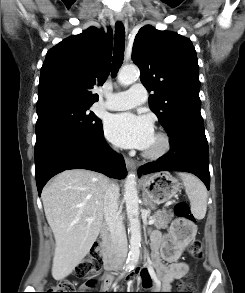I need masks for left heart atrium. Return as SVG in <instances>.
<instances>
[{
    "mask_svg": "<svg viewBox=\"0 0 245 293\" xmlns=\"http://www.w3.org/2000/svg\"><path fill=\"white\" fill-rule=\"evenodd\" d=\"M105 135L118 146L144 150L154 137V129L150 119L145 116L113 114L106 119Z\"/></svg>",
    "mask_w": 245,
    "mask_h": 293,
    "instance_id": "39dd6f15",
    "label": "left heart atrium"
}]
</instances>
